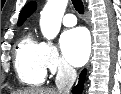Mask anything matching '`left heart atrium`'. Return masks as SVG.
<instances>
[{
	"instance_id": "39dd6f15",
	"label": "left heart atrium",
	"mask_w": 121,
	"mask_h": 94,
	"mask_svg": "<svg viewBox=\"0 0 121 94\" xmlns=\"http://www.w3.org/2000/svg\"><path fill=\"white\" fill-rule=\"evenodd\" d=\"M61 49L68 63L75 67L82 66L88 59L90 40L83 28L65 31L61 36Z\"/></svg>"
}]
</instances>
